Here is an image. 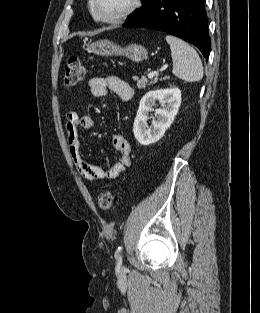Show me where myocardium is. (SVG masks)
I'll return each mask as SVG.
<instances>
[{
    "instance_id": "f54148a6",
    "label": "myocardium",
    "mask_w": 260,
    "mask_h": 313,
    "mask_svg": "<svg viewBox=\"0 0 260 313\" xmlns=\"http://www.w3.org/2000/svg\"><path fill=\"white\" fill-rule=\"evenodd\" d=\"M140 2L141 0H131L129 6L124 11H122L118 15L111 17L102 16L99 13L97 9V0H91V9L97 21L102 23L114 24L119 23L132 15L139 8Z\"/></svg>"
}]
</instances>
